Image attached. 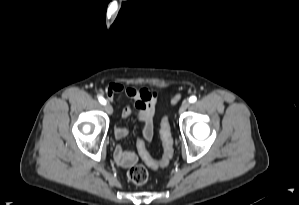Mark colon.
<instances>
[{
  "label": "colon",
  "mask_w": 299,
  "mask_h": 205,
  "mask_svg": "<svg viewBox=\"0 0 299 205\" xmlns=\"http://www.w3.org/2000/svg\"><path fill=\"white\" fill-rule=\"evenodd\" d=\"M179 99L180 95L177 94L172 98L171 103L174 105L179 101ZM160 135L162 140L163 155L161 160L159 161L154 160L150 156L149 152L146 149L145 140L142 138L137 139V149L141 158L149 167L153 169L166 167L169 164L173 155V139L167 117H164L162 119ZM128 178L132 183L136 185H143L148 180V171L142 165L132 166L128 171Z\"/></svg>",
  "instance_id": "5ec220e1"
}]
</instances>
